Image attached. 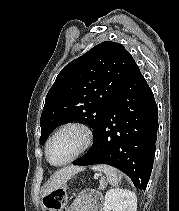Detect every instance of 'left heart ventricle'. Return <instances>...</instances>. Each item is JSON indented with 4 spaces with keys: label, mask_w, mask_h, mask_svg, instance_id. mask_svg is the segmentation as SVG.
<instances>
[{
    "label": "left heart ventricle",
    "mask_w": 179,
    "mask_h": 211,
    "mask_svg": "<svg viewBox=\"0 0 179 211\" xmlns=\"http://www.w3.org/2000/svg\"><path fill=\"white\" fill-rule=\"evenodd\" d=\"M81 135L76 130H66L51 142L48 156L52 163L59 164L68 160L79 148Z\"/></svg>",
    "instance_id": "1"
}]
</instances>
